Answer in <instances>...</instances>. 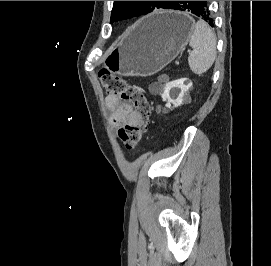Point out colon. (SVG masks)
Segmentation results:
<instances>
[{
    "label": "colon",
    "mask_w": 271,
    "mask_h": 266,
    "mask_svg": "<svg viewBox=\"0 0 271 266\" xmlns=\"http://www.w3.org/2000/svg\"><path fill=\"white\" fill-rule=\"evenodd\" d=\"M98 75L102 86L109 95L130 102L138 114L139 119L135 124L124 125L118 131V138L124 147L133 150L140 144L151 116L152 109L146 93L107 69L100 70Z\"/></svg>",
    "instance_id": "colon-1"
}]
</instances>
